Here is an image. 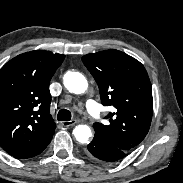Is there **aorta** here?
I'll list each match as a JSON object with an SVG mask.
<instances>
[{
  "label": "aorta",
  "instance_id": "obj_1",
  "mask_svg": "<svg viewBox=\"0 0 183 183\" xmlns=\"http://www.w3.org/2000/svg\"><path fill=\"white\" fill-rule=\"evenodd\" d=\"M65 88L74 94H82L88 88L86 78L79 72L68 71L63 77ZM73 135L80 143H87L92 136V132L87 125H78L73 130Z\"/></svg>",
  "mask_w": 183,
  "mask_h": 183
}]
</instances>
